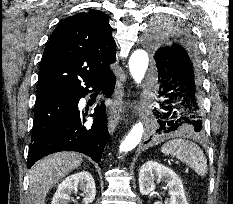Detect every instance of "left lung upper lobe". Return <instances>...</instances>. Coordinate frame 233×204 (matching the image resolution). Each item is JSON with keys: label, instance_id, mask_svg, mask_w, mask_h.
<instances>
[{"label": "left lung upper lobe", "instance_id": "left-lung-upper-lobe-1", "mask_svg": "<svg viewBox=\"0 0 233 204\" xmlns=\"http://www.w3.org/2000/svg\"><path fill=\"white\" fill-rule=\"evenodd\" d=\"M148 45L153 53L155 64L158 57L166 49L178 50L189 55L201 75L199 57L195 42L190 33L181 27L169 24L153 26L147 38Z\"/></svg>", "mask_w": 233, "mask_h": 204}]
</instances>
